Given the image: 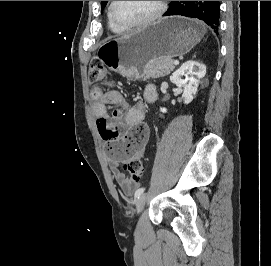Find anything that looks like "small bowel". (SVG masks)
<instances>
[{
	"mask_svg": "<svg viewBox=\"0 0 271 266\" xmlns=\"http://www.w3.org/2000/svg\"><path fill=\"white\" fill-rule=\"evenodd\" d=\"M144 101L129 106L115 89L103 91L99 86L91 88L92 111L101 138L106 143L112 175L125 194H131L138 182L129 179L120 170L122 162L142 158L148 141L149 130L144 123L146 104L156 100L153 86L144 90ZM108 105L114 106L109 116Z\"/></svg>",
	"mask_w": 271,
	"mask_h": 266,
	"instance_id": "1",
	"label": "small bowel"
}]
</instances>
